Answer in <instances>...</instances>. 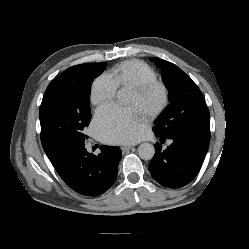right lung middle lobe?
<instances>
[{
  "label": "right lung middle lobe",
  "instance_id": "dd1d6c3e",
  "mask_svg": "<svg viewBox=\"0 0 249 249\" xmlns=\"http://www.w3.org/2000/svg\"><path fill=\"white\" fill-rule=\"evenodd\" d=\"M106 66L104 62L76 65L49 84L39 111L45 151L58 144L85 141L83 130L91 119V84Z\"/></svg>",
  "mask_w": 249,
  "mask_h": 249
}]
</instances>
